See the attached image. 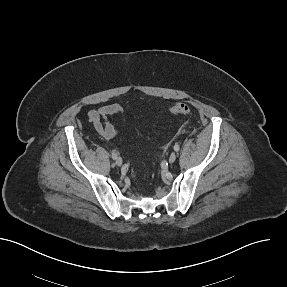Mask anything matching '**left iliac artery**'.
Listing matches in <instances>:
<instances>
[{"instance_id":"obj_1","label":"left iliac artery","mask_w":287,"mask_h":287,"mask_svg":"<svg viewBox=\"0 0 287 287\" xmlns=\"http://www.w3.org/2000/svg\"><path fill=\"white\" fill-rule=\"evenodd\" d=\"M179 149H180V146H179L178 144H175V145H174V150H175V151H179Z\"/></svg>"}]
</instances>
